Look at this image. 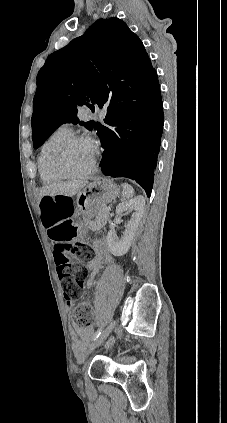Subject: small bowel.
<instances>
[{
	"instance_id": "1",
	"label": "small bowel",
	"mask_w": 227,
	"mask_h": 423,
	"mask_svg": "<svg viewBox=\"0 0 227 423\" xmlns=\"http://www.w3.org/2000/svg\"><path fill=\"white\" fill-rule=\"evenodd\" d=\"M70 221H71L70 219H66V220H61L59 222H56L53 225H48V226L46 225L45 228H46V231H47L49 238L56 243L55 231L54 230L57 227L65 224L67 222H70ZM103 261H105L107 263H110L112 261L110 255L107 253V251H105L103 253H98V255L95 256L91 261L87 262V269L89 270V278L87 280L86 285L88 287H91L93 285L96 273L98 272L99 268L101 267ZM73 305H74V302L67 301V307L68 308H71ZM98 316H99L98 314L95 315L96 318ZM74 329L79 336V340H77L75 342L74 350H75V353L77 355H81L83 349L88 345V343H89V341H90V339H91V337L94 333V330H93L92 327H80L75 323H74Z\"/></svg>"
}]
</instances>
